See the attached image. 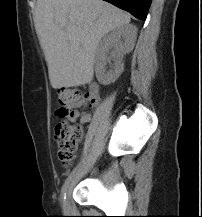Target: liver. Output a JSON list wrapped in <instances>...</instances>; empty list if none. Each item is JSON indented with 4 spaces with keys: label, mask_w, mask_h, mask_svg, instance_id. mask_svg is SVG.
<instances>
[{
    "label": "liver",
    "mask_w": 202,
    "mask_h": 217,
    "mask_svg": "<svg viewBox=\"0 0 202 217\" xmlns=\"http://www.w3.org/2000/svg\"><path fill=\"white\" fill-rule=\"evenodd\" d=\"M34 22L57 89L90 83L101 38L130 16L103 0H37Z\"/></svg>",
    "instance_id": "liver-1"
}]
</instances>
